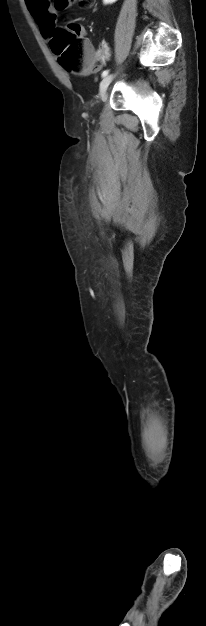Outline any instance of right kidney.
<instances>
[{
  "label": "right kidney",
  "mask_w": 206,
  "mask_h": 626,
  "mask_svg": "<svg viewBox=\"0 0 206 626\" xmlns=\"http://www.w3.org/2000/svg\"><path fill=\"white\" fill-rule=\"evenodd\" d=\"M116 1H117V0H103V3H104L105 5H108V4H113V3H115Z\"/></svg>",
  "instance_id": "obj_1"
}]
</instances>
